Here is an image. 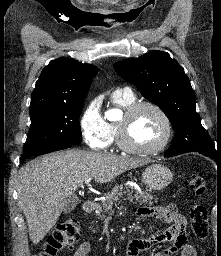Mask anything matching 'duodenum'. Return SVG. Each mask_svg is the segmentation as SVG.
Returning a JSON list of instances; mask_svg holds the SVG:
<instances>
[{"label":"duodenum","instance_id":"duodenum-1","mask_svg":"<svg viewBox=\"0 0 221 256\" xmlns=\"http://www.w3.org/2000/svg\"><path fill=\"white\" fill-rule=\"evenodd\" d=\"M96 207V203L93 200H87L83 203V210L85 212H92Z\"/></svg>","mask_w":221,"mask_h":256}]
</instances>
